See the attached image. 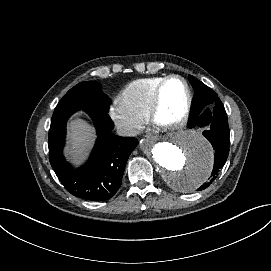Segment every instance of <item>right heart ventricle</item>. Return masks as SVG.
<instances>
[{
	"label": "right heart ventricle",
	"instance_id": "right-heart-ventricle-1",
	"mask_svg": "<svg viewBox=\"0 0 271 271\" xmlns=\"http://www.w3.org/2000/svg\"><path fill=\"white\" fill-rule=\"evenodd\" d=\"M166 75H154L129 82L120 92L125 107L142 121L150 117L153 93Z\"/></svg>",
	"mask_w": 271,
	"mask_h": 271
}]
</instances>
